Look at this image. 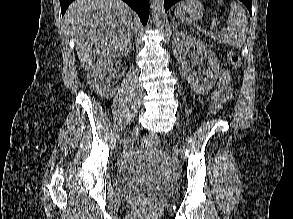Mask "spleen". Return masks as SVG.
Instances as JSON below:
<instances>
[{"label":"spleen","instance_id":"1","mask_svg":"<svg viewBox=\"0 0 293 219\" xmlns=\"http://www.w3.org/2000/svg\"><path fill=\"white\" fill-rule=\"evenodd\" d=\"M219 3H222V0H219ZM230 8L228 17L230 28L228 33L220 36L219 43L240 48L244 44L248 32V20L244 9L238 3L231 2ZM207 34L210 35V33ZM213 35L211 34V36Z\"/></svg>","mask_w":293,"mask_h":219}]
</instances>
